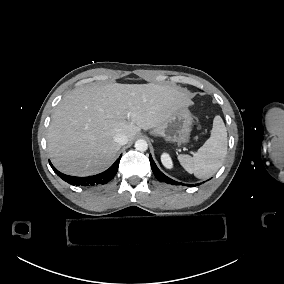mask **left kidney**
<instances>
[{
	"label": "left kidney",
	"mask_w": 284,
	"mask_h": 284,
	"mask_svg": "<svg viewBox=\"0 0 284 284\" xmlns=\"http://www.w3.org/2000/svg\"><path fill=\"white\" fill-rule=\"evenodd\" d=\"M162 163L165 167L170 168L171 167V160L167 154L162 155Z\"/></svg>",
	"instance_id": "obj_1"
}]
</instances>
